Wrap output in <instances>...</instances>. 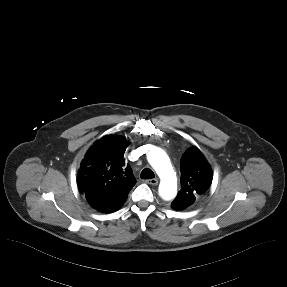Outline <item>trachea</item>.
Wrapping results in <instances>:
<instances>
[{
	"label": "trachea",
	"mask_w": 287,
	"mask_h": 287,
	"mask_svg": "<svg viewBox=\"0 0 287 287\" xmlns=\"http://www.w3.org/2000/svg\"><path fill=\"white\" fill-rule=\"evenodd\" d=\"M141 179H153L155 177L154 172L149 169V168H145L140 175Z\"/></svg>",
	"instance_id": "obj_1"
}]
</instances>
